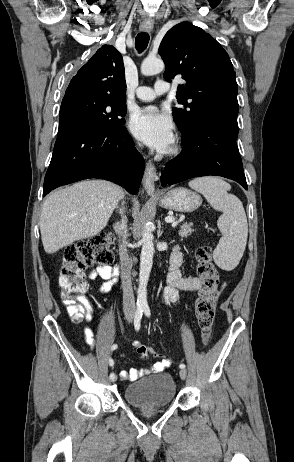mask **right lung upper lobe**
I'll return each instance as SVG.
<instances>
[{
	"label": "right lung upper lobe",
	"instance_id": "obj_1",
	"mask_svg": "<svg viewBox=\"0 0 294 462\" xmlns=\"http://www.w3.org/2000/svg\"><path fill=\"white\" fill-rule=\"evenodd\" d=\"M126 82L122 55L103 45L72 78L63 99L77 95L125 99Z\"/></svg>",
	"mask_w": 294,
	"mask_h": 462
}]
</instances>
